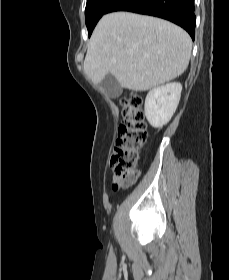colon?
<instances>
[{"label": "colon", "instance_id": "1", "mask_svg": "<svg viewBox=\"0 0 229 280\" xmlns=\"http://www.w3.org/2000/svg\"><path fill=\"white\" fill-rule=\"evenodd\" d=\"M142 97L129 93L121 98L123 122L114 144L110 167L115 182L132 185L138 176L139 152L147 140V130L142 109Z\"/></svg>", "mask_w": 229, "mask_h": 280}]
</instances>
